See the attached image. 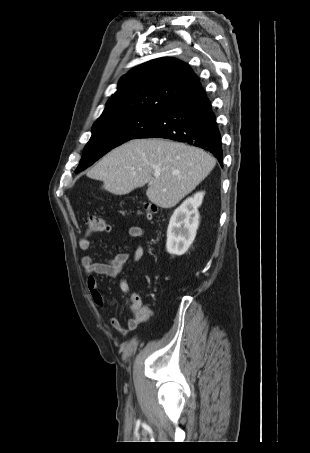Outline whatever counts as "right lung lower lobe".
I'll return each mask as SVG.
<instances>
[{
    "instance_id": "98d812e1",
    "label": "right lung lower lobe",
    "mask_w": 310,
    "mask_h": 453,
    "mask_svg": "<svg viewBox=\"0 0 310 453\" xmlns=\"http://www.w3.org/2000/svg\"><path fill=\"white\" fill-rule=\"evenodd\" d=\"M166 138L203 148L222 165L221 135L203 87L183 96L166 108L137 138Z\"/></svg>"
}]
</instances>
